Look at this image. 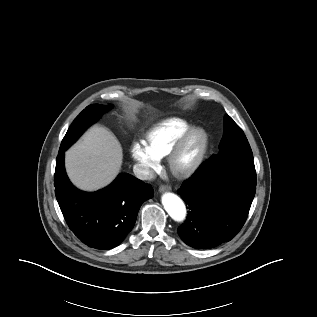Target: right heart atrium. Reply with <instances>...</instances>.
Wrapping results in <instances>:
<instances>
[{
  "label": "right heart atrium",
  "instance_id": "d8ad5b80",
  "mask_svg": "<svg viewBox=\"0 0 317 317\" xmlns=\"http://www.w3.org/2000/svg\"><path fill=\"white\" fill-rule=\"evenodd\" d=\"M130 152L141 177L149 178L159 168L160 159L151 151L146 143L134 141Z\"/></svg>",
  "mask_w": 317,
  "mask_h": 317
}]
</instances>
